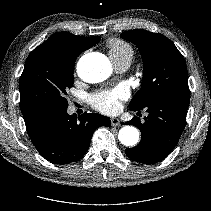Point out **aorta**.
<instances>
[{
	"instance_id": "762f6f07",
	"label": "aorta",
	"mask_w": 211,
	"mask_h": 211,
	"mask_svg": "<svg viewBox=\"0 0 211 211\" xmlns=\"http://www.w3.org/2000/svg\"><path fill=\"white\" fill-rule=\"evenodd\" d=\"M77 72L84 81L98 83L108 78L111 65L102 54H87L80 58ZM118 138L124 146H134L139 140V131L133 126H124L120 129Z\"/></svg>"
}]
</instances>
